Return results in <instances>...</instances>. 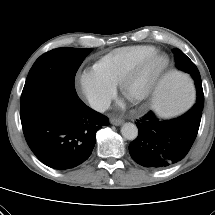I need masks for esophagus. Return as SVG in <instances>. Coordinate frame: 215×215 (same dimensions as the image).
<instances>
[{"instance_id":"esophagus-1","label":"esophagus","mask_w":215,"mask_h":215,"mask_svg":"<svg viewBox=\"0 0 215 215\" xmlns=\"http://www.w3.org/2000/svg\"><path fill=\"white\" fill-rule=\"evenodd\" d=\"M110 123L115 125V126H119L123 123V120L119 119V118H111Z\"/></svg>"}]
</instances>
